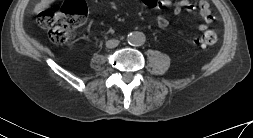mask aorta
Segmentation results:
<instances>
[{
  "mask_svg": "<svg viewBox=\"0 0 253 138\" xmlns=\"http://www.w3.org/2000/svg\"><path fill=\"white\" fill-rule=\"evenodd\" d=\"M127 41L130 45L141 46L145 42V35L139 31L131 32L127 36Z\"/></svg>",
  "mask_w": 253,
  "mask_h": 138,
  "instance_id": "obj_1",
  "label": "aorta"
}]
</instances>
